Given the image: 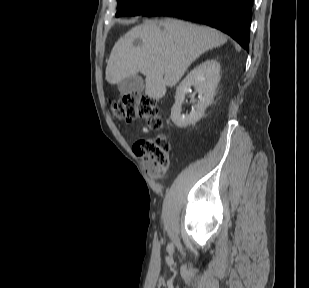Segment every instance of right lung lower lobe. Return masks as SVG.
<instances>
[{
    "label": "right lung lower lobe",
    "instance_id": "obj_1",
    "mask_svg": "<svg viewBox=\"0 0 309 288\" xmlns=\"http://www.w3.org/2000/svg\"><path fill=\"white\" fill-rule=\"evenodd\" d=\"M253 0H163L143 16H171L217 28L249 51Z\"/></svg>",
    "mask_w": 309,
    "mask_h": 288
}]
</instances>
